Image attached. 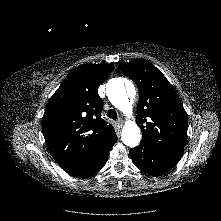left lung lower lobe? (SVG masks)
Listing matches in <instances>:
<instances>
[{"mask_svg":"<svg viewBox=\"0 0 221 221\" xmlns=\"http://www.w3.org/2000/svg\"><path fill=\"white\" fill-rule=\"evenodd\" d=\"M129 153L137 168L153 176L165 174L181 158V154L166 151L144 141Z\"/></svg>","mask_w":221,"mask_h":221,"instance_id":"0a47b994","label":"left lung lower lobe"}]
</instances>
